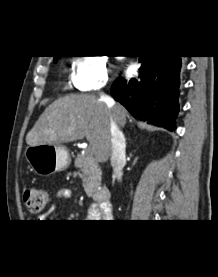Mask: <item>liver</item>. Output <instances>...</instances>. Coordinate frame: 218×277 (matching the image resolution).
Returning a JSON list of instances; mask_svg holds the SVG:
<instances>
[{
	"label": "liver",
	"instance_id": "6515ba94",
	"mask_svg": "<svg viewBox=\"0 0 218 277\" xmlns=\"http://www.w3.org/2000/svg\"><path fill=\"white\" fill-rule=\"evenodd\" d=\"M116 121L126 123V111L117 104ZM112 113L105 102L93 95H68L50 104L26 136L29 146L60 145L81 140L90 143L99 162L111 155Z\"/></svg>",
	"mask_w": 218,
	"mask_h": 277
}]
</instances>
